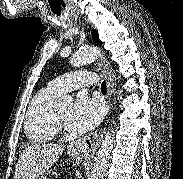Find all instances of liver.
<instances>
[{
  "label": "liver",
  "mask_w": 183,
  "mask_h": 179,
  "mask_svg": "<svg viewBox=\"0 0 183 179\" xmlns=\"http://www.w3.org/2000/svg\"><path fill=\"white\" fill-rule=\"evenodd\" d=\"M63 151L64 148L56 144L28 146L18 159L14 179H36L44 175Z\"/></svg>",
  "instance_id": "6515ba94"
}]
</instances>
